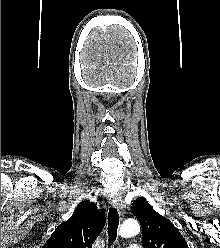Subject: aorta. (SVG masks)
<instances>
[{
	"mask_svg": "<svg viewBox=\"0 0 220 248\" xmlns=\"http://www.w3.org/2000/svg\"><path fill=\"white\" fill-rule=\"evenodd\" d=\"M140 232V225L135 219H128L124 221L120 227V236L132 237Z\"/></svg>",
	"mask_w": 220,
	"mask_h": 248,
	"instance_id": "aorta-1",
	"label": "aorta"
}]
</instances>
